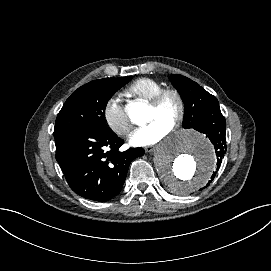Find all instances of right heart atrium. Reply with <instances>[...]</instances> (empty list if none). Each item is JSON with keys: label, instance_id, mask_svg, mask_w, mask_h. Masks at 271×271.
<instances>
[{"label": "right heart atrium", "instance_id": "1", "mask_svg": "<svg viewBox=\"0 0 271 271\" xmlns=\"http://www.w3.org/2000/svg\"><path fill=\"white\" fill-rule=\"evenodd\" d=\"M103 119L107 126L121 137H126L132 130L131 121L122 104L121 94H112L104 101L102 108Z\"/></svg>", "mask_w": 271, "mask_h": 271}]
</instances>
